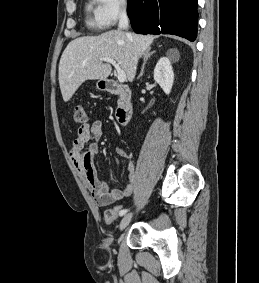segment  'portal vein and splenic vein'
<instances>
[{
  "mask_svg": "<svg viewBox=\"0 0 259 283\" xmlns=\"http://www.w3.org/2000/svg\"><path fill=\"white\" fill-rule=\"evenodd\" d=\"M100 61L108 62V63H110L114 66V68L117 72L118 81L120 83H124L126 81V74H125L124 70L120 68V66L116 63V61L114 59L104 57V58H101Z\"/></svg>",
  "mask_w": 259,
  "mask_h": 283,
  "instance_id": "18ae733b",
  "label": "portal vein and splenic vein"
}]
</instances>
